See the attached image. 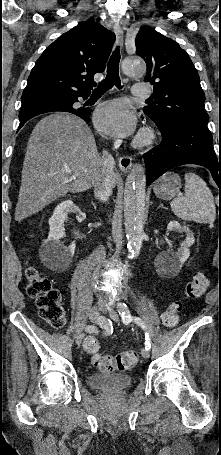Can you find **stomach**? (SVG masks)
I'll return each instance as SVG.
<instances>
[{"label": "stomach", "instance_id": "0dacf381", "mask_svg": "<svg viewBox=\"0 0 221 455\" xmlns=\"http://www.w3.org/2000/svg\"><path fill=\"white\" fill-rule=\"evenodd\" d=\"M153 189L158 198L170 200L180 192L181 179L178 174L168 172L156 181Z\"/></svg>", "mask_w": 221, "mask_h": 455}]
</instances>
